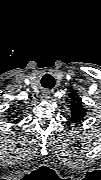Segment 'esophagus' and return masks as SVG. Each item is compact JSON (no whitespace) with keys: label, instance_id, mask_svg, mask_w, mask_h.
Listing matches in <instances>:
<instances>
[{"label":"esophagus","instance_id":"34e87169","mask_svg":"<svg viewBox=\"0 0 101 180\" xmlns=\"http://www.w3.org/2000/svg\"><path fill=\"white\" fill-rule=\"evenodd\" d=\"M50 98V91L46 90L42 93L41 99L42 100H48Z\"/></svg>","mask_w":101,"mask_h":180}]
</instances>
